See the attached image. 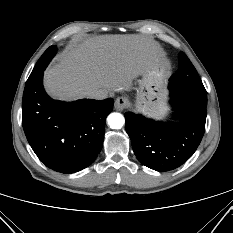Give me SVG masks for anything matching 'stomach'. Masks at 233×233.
Listing matches in <instances>:
<instances>
[{"label": "stomach", "mask_w": 233, "mask_h": 233, "mask_svg": "<svg viewBox=\"0 0 233 233\" xmlns=\"http://www.w3.org/2000/svg\"><path fill=\"white\" fill-rule=\"evenodd\" d=\"M167 70L168 65L158 55L150 69L137 81V103L144 110H150L157 116L165 111L162 97Z\"/></svg>", "instance_id": "1"}]
</instances>
